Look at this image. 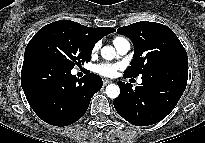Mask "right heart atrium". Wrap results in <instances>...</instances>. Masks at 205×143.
Listing matches in <instances>:
<instances>
[{
    "label": "right heart atrium",
    "mask_w": 205,
    "mask_h": 143,
    "mask_svg": "<svg viewBox=\"0 0 205 143\" xmlns=\"http://www.w3.org/2000/svg\"><path fill=\"white\" fill-rule=\"evenodd\" d=\"M99 47H100V44L96 43L92 48V53H96L98 51Z\"/></svg>",
    "instance_id": "obj_1"
}]
</instances>
